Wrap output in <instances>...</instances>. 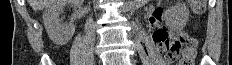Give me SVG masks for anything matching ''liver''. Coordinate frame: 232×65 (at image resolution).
<instances>
[{
  "label": "liver",
  "instance_id": "liver-1",
  "mask_svg": "<svg viewBox=\"0 0 232 65\" xmlns=\"http://www.w3.org/2000/svg\"><path fill=\"white\" fill-rule=\"evenodd\" d=\"M55 0H28V3L35 11H40L48 8L54 3Z\"/></svg>",
  "mask_w": 232,
  "mask_h": 65
}]
</instances>
